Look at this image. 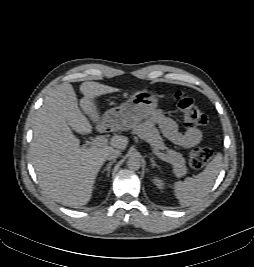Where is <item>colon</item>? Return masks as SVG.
<instances>
[{"mask_svg":"<svg viewBox=\"0 0 254 267\" xmlns=\"http://www.w3.org/2000/svg\"><path fill=\"white\" fill-rule=\"evenodd\" d=\"M174 100L186 127L204 126L208 123L207 115L183 92H177ZM212 157L213 151L208 147L199 146L189 151V163L193 169L203 168Z\"/></svg>","mask_w":254,"mask_h":267,"instance_id":"obj_1","label":"colon"}]
</instances>
